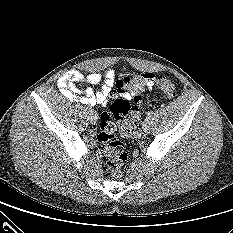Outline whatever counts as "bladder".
I'll use <instances>...</instances> for the list:
<instances>
[{"label":"bladder","instance_id":"bladder-1","mask_svg":"<svg viewBox=\"0 0 233 233\" xmlns=\"http://www.w3.org/2000/svg\"><path fill=\"white\" fill-rule=\"evenodd\" d=\"M112 127H113V131H114V126H113V124H112Z\"/></svg>","mask_w":233,"mask_h":233}]
</instances>
